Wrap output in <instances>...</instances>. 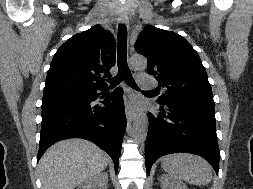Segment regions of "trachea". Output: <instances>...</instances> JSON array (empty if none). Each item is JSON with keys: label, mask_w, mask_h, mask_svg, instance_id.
<instances>
[{"label": "trachea", "mask_w": 253, "mask_h": 189, "mask_svg": "<svg viewBox=\"0 0 253 189\" xmlns=\"http://www.w3.org/2000/svg\"><path fill=\"white\" fill-rule=\"evenodd\" d=\"M118 52H117V66L118 73L115 77L108 79L111 87L117 86L120 82L125 80L126 84L133 89L139 90L131 71L127 64V28L125 24L118 26Z\"/></svg>", "instance_id": "trachea-1"}]
</instances>
